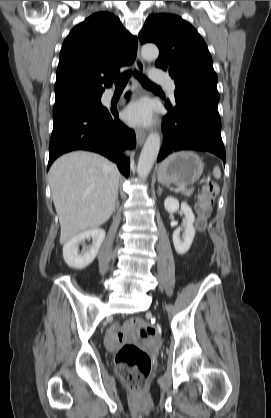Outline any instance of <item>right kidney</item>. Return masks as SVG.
<instances>
[{
  "mask_svg": "<svg viewBox=\"0 0 271 418\" xmlns=\"http://www.w3.org/2000/svg\"><path fill=\"white\" fill-rule=\"evenodd\" d=\"M105 231L100 228L84 231L70 239L63 247V257L68 266L83 269L90 265L98 254L104 241ZM86 239H92V245L79 253V244Z\"/></svg>",
  "mask_w": 271,
  "mask_h": 418,
  "instance_id": "right-kidney-1",
  "label": "right kidney"
}]
</instances>
